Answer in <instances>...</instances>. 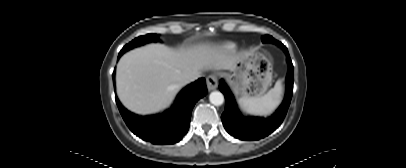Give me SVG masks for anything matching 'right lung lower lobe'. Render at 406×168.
Here are the masks:
<instances>
[{
    "mask_svg": "<svg viewBox=\"0 0 406 168\" xmlns=\"http://www.w3.org/2000/svg\"><path fill=\"white\" fill-rule=\"evenodd\" d=\"M206 94V81L200 78L184 87L172 106L162 113L140 116L128 111L118 99L116 103L125 123L136 136L153 144H174L187 133L193 107Z\"/></svg>",
    "mask_w": 406,
    "mask_h": 168,
    "instance_id": "right-lung-lower-lobe-1",
    "label": "right lung lower lobe"
}]
</instances>
